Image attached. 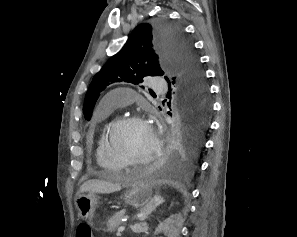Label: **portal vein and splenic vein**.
I'll return each instance as SVG.
<instances>
[{"mask_svg": "<svg viewBox=\"0 0 297 237\" xmlns=\"http://www.w3.org/2000/svg\"><path fill=\"white\" fill-rule=\"evenodd\" d=\"M125 230V226H120L117 230V234H119L120 232H123Z\"/></svg>", "mask_w": 297, "mask_h": 237, "instance_id": "1", "label": "portal vein and splenic vein"}]
</instances>
